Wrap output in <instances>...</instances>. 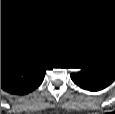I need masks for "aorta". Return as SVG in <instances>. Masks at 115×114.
<instances>
[{"label": "aorta", "instance_id": "obj_1", "mask_svg": "<svg viewBox=\"0 0 115 114\" xmlns=\"http://www.w3.org/2000/svg\"><path fill=\"white\" fill-rule=\"evenodd\" d=\"M72 72H77V71H79V68H72V69H70Z\"/></svg>", "mask_w": 115, "mask_h": 114}]
</instances>
